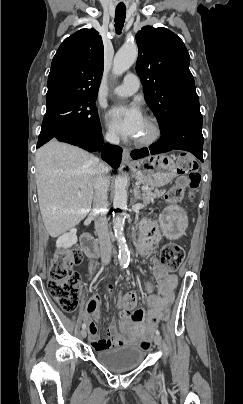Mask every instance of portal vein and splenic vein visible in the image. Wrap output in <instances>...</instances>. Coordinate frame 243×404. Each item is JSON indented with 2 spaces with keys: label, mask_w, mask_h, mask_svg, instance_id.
Returning a JSON list of instances; mask_svg holds the SVG:
<instances>
[{
  "label": "portal vein and splenic vein",
  "mask_w": 243,
  "mask_h": 404,
  "mask_svg": "<svg viewBox=\"0 0 243 404\" xmlns=\"http://www.w3.org/2000/svg\"><path fill=\"white\" fill-rule=\"evenodd\" d=\"M141 190H149L148 186H143ZM78 196H82L81 192H78Z\"/></svg>",
  "instance_id": "1"
}]
</instances>
